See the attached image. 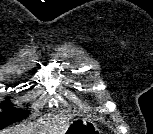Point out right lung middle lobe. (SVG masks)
Segmentation results:
<instances>
[{"mask_svg":"<svg viewBox=\"0 0 153 134\" xmlns=\"http://www.w3.org/2000/svg\"><path fill=\"white\" fill-rule=\"evenodd\" d=\"M1 107L4 109V111L0 113V129H3L15 121L21 120L28 116L26 111L12 109V105H10L8 102L2 103Z\"/></svg>","mask_w":153,"mask_h":134,"instance_id":"1","label":"right lung middle lobe"}]
</instances>
